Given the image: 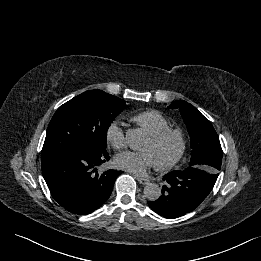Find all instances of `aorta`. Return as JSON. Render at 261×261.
I'll return each instance as SVG.
<instances>
[{
    "instance_id": "aorta-1",
    "label": "aorta",
    "mask_w": 261,
    "mask_h": 261,
    "mask_svg": "<svg viewBox=\"0 0 261 261\" xmlns=\"http://www.w3.org/2000/svg\"><path fill=\"white\" fill-rule=\"evenodd\" d=\"M126 141L130 149L140 150L146 142V135L139 128L129 129L126 133ZM144 195L148 200L155 201L161 196V188L158 184L148 183L144 187Z\"/></svg>"
}]
</instances>
